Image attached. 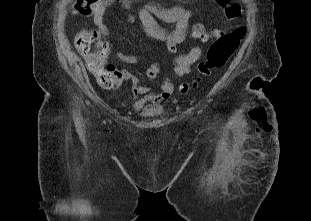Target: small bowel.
I'll return each mask as SVG.
<instances>
[{
    "label": "small bowel",
    "instance_id": "small-bowel-1",
    "mask_svg": "<svg viewBox=\"0 0 311 221\" xmlns=\"http://www.w3.org/2000/svg\"><path fill=\"white\" fill-rule=\"evenodd\" d=\"M112 0H102L95 8L94 22L100 33L108 37L110 31L103 21V14L106 5ZM139 20L146 35L152 39L162 41L166 45L168 53L174 54L178 44L184 41L191 17V11L183 6L163 7L155 3H145L138 11ZM161 18L166 21L175 22L173 31L168 32L156 21ZM200 47H193L187 54L178 55L174 59L173 75L164 77L159 91L153 90L146 84L140 82L139 78L127 68L117 69L119 82L128 81L131 83L132 108L142 116H151L160 108L161 104L168 100L174 91L176 80L187 74L190 66L201 56ZM116 57L125 64H136L138 59L134 55H128L121 51L116 52ZM161 62L152 63L145 71L148 80H155L160 72ZM119 83V84H120Z\"/></svg>",
    "mask_w": 311,
    "mask_h": 221
}]
</instances>
